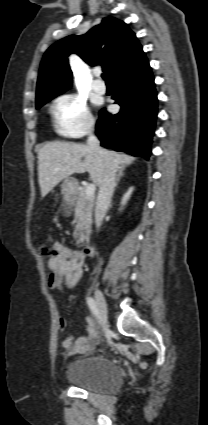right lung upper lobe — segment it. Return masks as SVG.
<instances>
[{
	"label": "right lung upper lobe",
	"mask_w": 208,
	"mask_h": 425,
	"mask_svg": "<svg viewBox=\"0 0 208 425\" xmlns=\"http://www.w3.org/2000/svg\"><path fill=\"white\" fill-rule=\"evenodd\" d=\"M80 56L87 64H101L113 80L145 57L142 46L127 24L107 17L86 34L70 35L54 43L44 54L36 90V104L45 96L63 93L72 83L68 56Z\"/></svg>",
	"instance_id": "cb5924a9"
}]
</instances>
